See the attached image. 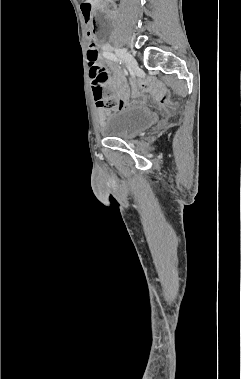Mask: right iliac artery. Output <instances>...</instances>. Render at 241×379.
<instances>
[{
	"label": "right iliac artery",
	"mask_w": 241,
	"mask_h": 379,
	"mask_svg": "<svg viewBox=\"0 0 241 379\" xmlns=\"http://www.w3.org/2000/svg\"><path fill=\"white\" fill-rule=\"evenodd\" d=\"M103 56L112 61L119 62L120 64L122 63V60H120L115 54L110 51H104Z\"/></svg>",
	"instance_id": "right-iliac-artery-1"
}]
</instances>
